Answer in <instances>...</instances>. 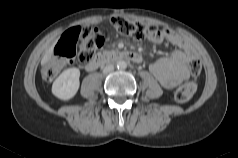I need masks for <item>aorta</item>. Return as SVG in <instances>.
Masks as SVG:
<instances>
[{
	"label": "aorta",
	"instance_id": "obj_1",
	"mask_svg": "<svg viewBox=\"0 0 238 158\" xmlns=\"http://www.w3.org/2000/svg\"><path fill=\"white\" fill-rule=\"evenodd\" d=\"M117 67L119 69H126L127 68V63L124 60H120L117 62Z\"/></svg>",
	"mask_w": 238,
	"mask_h": 158
}]
</instances>
